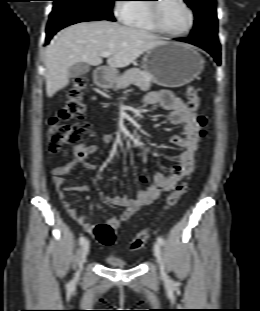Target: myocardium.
<instances>
[{
  "label": "myocardium",
  "mask_w": 260,
  "mask_h": 311,
  "mask_svg": "<svg viewBox=\"0 0 260 311\" xmlns=\"http://www.w3.org/2000/svg\"><path fill=\"white\" fill-rule=\"evenodd\" d=\"M154 1L155 2L148 4L147 7L149 19L158 32L170 37H182L191 32L195 23V15L193 9L186 0H179V2L185 7V9L189 14V25L184 31L181 32H171L164 28L159 15L160 4L162 3L163 0H154Z\"/></svg>",
  "instance_id": "1"
}]
</instances>
